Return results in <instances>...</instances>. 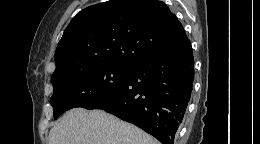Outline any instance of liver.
<instances>
[{"label":"liver","mask_w":260,"mask_h":144,"mask_svg":"<svg viewBox=\"0 0 260 144\" xmlns=\"http://www.w3.org/2000/svg\"><path fill=\"white\" fill-rule=\"evenodd\" d=\"M49 144H159L138 127L102 110L74 108L49 132Z\"/></svg>","instance_id":"liver-1"}]
</instances>
